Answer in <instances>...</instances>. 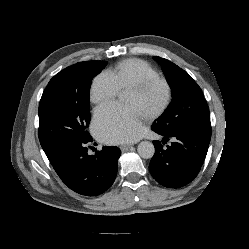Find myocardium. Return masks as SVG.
Segmentation results:
<instances>
[{
    "instance_id": "f54148a6",
    "label": "myocardium",
    "mask_w": 249,
    "mask_h": 249,
    "mask_svg": "<svg viewBox=\"0 0 249 249\" xmlns=\"http://www.w3.org/2000/svg\"><path fill=\"white\" fill-rule=\"evenodd\" d=\"M156 83H161L165 87L166 97L161 107L158 110H156L154 113H152L151 115L145 118L147 121H152V120L159 118L169 108L172 102V98H173V89H172L170 82L164 77H160V76L150 77V78H146L136 83L135 85L131 86L127 90V91L134 92V93H142L147 88H149L150 86Z\"/></svg>"
}]
</instances>
